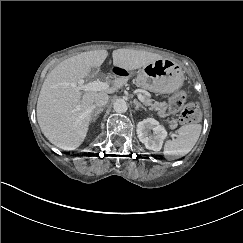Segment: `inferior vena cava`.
<instances>
[{"label": "inferior vena cava", "instance_id": "obj_1", "mask_svg": "<svg viewBox=\"0 0 243 243\" xmlns=\"http://www.w3.org/2000/svg\"><path fill=\"white\" fill-rule=\"evenodd\" d=\"M108 100H109V96L106 93H98L95 96L94 103L95 106L102 107L108 103Z\"/></svg>", "mask_w": 243, "mask_h": 243}]
</instances>
